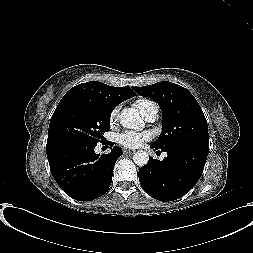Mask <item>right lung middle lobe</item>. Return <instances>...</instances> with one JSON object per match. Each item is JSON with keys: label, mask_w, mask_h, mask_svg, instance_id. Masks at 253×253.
<instances>
[{"label": "right lung middle lobe", "mask_w": 253, "mask_h": 253, "mask_svg": "<svg viewBox=\"0 0 253 253\" xmlns=\"http://www.w3.org/2000/svg\"><path fill=\"white\" fill-rule=\"evenodd\" d=\"M112 110L79 98L61 100L50 120L46 147L68 141L102 142L110 130Z\"/></svg>", "instance_id": "dd1d6c3e"}]
</instances>
